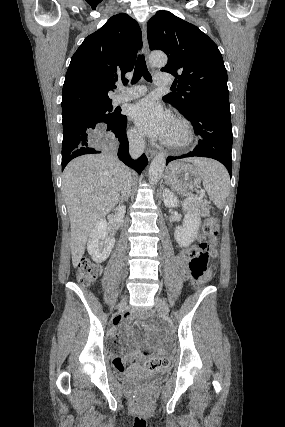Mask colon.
I'll list each match as a JSON object with an SVG mask.
<instances>
[{"label":"colon","mask_w":285,"mask_h":427,"mask_svg":"<svg viewBox=\"0 0 285 427\" xmlns=\"http://www.w3.org/2000/svg\"><path fill=\"white\" fill-rule=\"evenodd\" d=\"M219 231L217 220L214 217L209 218L204 226L203 239L197 247L187 256V262L184 265L183 272L193 284L205 282L210 274L209 256L214 254L213 245L218 241ZM78 282L82 285H89L99 275L100 268L88 258H81L76 262ZM144 366L148 370H159L170 366V360L165 357H152L144 361ZM121 368L126 364L121 363Z\"/></svg>","instance_id":"obj_1"}]
</instances>
